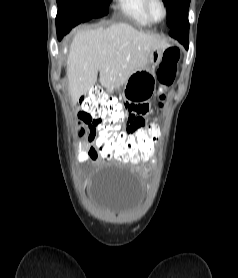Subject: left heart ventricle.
<instances>
[{"instance_id":"b2bd125f","label":"left heart ventricle","mask_w":238,"mask_h":278,"mask_svg":"<svg viewBox=\"0 0 238 278\" xmlns=\"http://www.w3.org/2000/svg\"><path fill=\"white\" fill-rule=\"evenodd\" d=\"M151 11L155 19H160L163 16L162 6L157 1L152 3Z\"/></svg>"}]
</instances>
